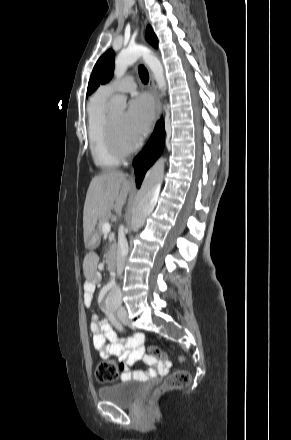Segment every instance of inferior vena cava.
Here are the masks:
<instances>
[{
	"label": "inferior vena cava",
	"mask_w": 291,
	"mask_h": 440,
	"mask_svg": "<svg viewBox=\"0 0 291 440\" xmlns=\"http://www.w3.org/2000/svg\"><path fill=\"white\" fill-rule=\"evenodd\" d=\"M128 252V244L123 234L118 238V253H117V274L121 275L125 264V255Z\"/></svg>",
	"instance_id": "1"
}]
</instances>
